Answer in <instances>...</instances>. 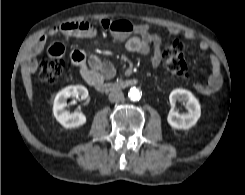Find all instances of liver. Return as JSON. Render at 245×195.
Returning a JSON list of instances; mask_svg holds the SVG:
<instances>
[{
  "label": "liver",
  "instance_id": "1",
  "mask_svg": "<svg viewBox=\"0 0 245 195\" xmlns=\"http://www.w3.org/2000/svg\"><path fill=\"white\" fill-rule=\"evenodd\" d=\"M21 73H22L24 87L26 89V94L29 100L32 101L33 100V87H32L30 71L27 68L22 67Z\"/></svg>",
  "mask_w": 245,
  "mask_h": 195
}]
</instances>
